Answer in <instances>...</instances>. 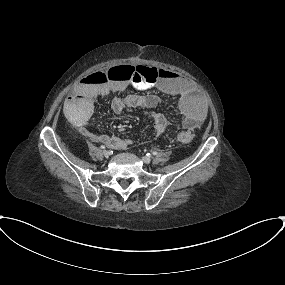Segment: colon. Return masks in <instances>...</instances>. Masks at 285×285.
<instances>
[{
	"label": "colon",
	"instance_id": "obj_1",
	"mask_svg": "<svg viewBox=\"0 0 285 285\" xmlns=\"http://www.w3.org/2000/svg\"><path fill=\"white\" fill-rule=\"evenodd\" d=\"M159 77V71L155 68H148L142 66H121L111 68L107 73H101L95 71L89 74H85L82 79L86 82L94 84H105L109 78L121 79L131 83L143 82V78L147 82H153ZM180 143L186 144L191 141V135L189 133H182L178 137Z\"/></svg>",
	"mask_w": 285,
	"mask_h": 285
}]
</instances>
